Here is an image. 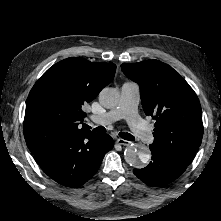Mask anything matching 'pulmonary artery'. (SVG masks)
Listing matches in <instances>:
<instances>
[{
    "instance_id": "obj_1",
    "label": "pulmonary artery",
    "mask_w": 221,
    "mask_h": 221,
    "mask_svg": "<svg viewBox=\"0 0 221 221\" xmlns=\"http://www.w3.org/2000/svg\"><path fill=\"white\" fill-rule=\"evenodd\" d=\"M140 88L134 82H124L121 86V100L116 109L106 113L92 115L90 120L97 125H108L121 118L126 119L133 133L144 143L153 140V133L147 124L138 116Z\"/></svg>"
}]
</instances>
